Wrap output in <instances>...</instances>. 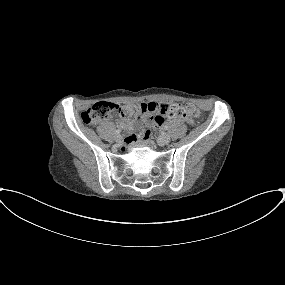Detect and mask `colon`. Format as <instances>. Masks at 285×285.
<instances>
[{"label":"colon","mask_w":285,"mask_h":285,"mask_svg":"<svg viewBox=\"0 0 285 285\" xmlns=\"http://www.w3.org/2000/svg\"><path fill=\"white\" fill-rule=\"evenodd\" d=\"M147 113V108L143 105L138 106H117L110 102H97L88 107L82 114L81 119L87 125H96L97 123L106 120L113 115L124 118L132 119L140 114ZM200 111L188 103H172L169 105L166 116L168 117H198ZM126 141H132V137H128Z\"/></svg>","instance_id":"obj_1"}]
</instances>
